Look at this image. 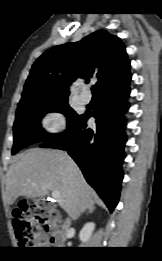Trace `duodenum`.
Returning a JSON list of instances; mask_svg holds the SVG:
<instances>
[{
  "instance_id": "1",
  "label": "duodenum",
  "mask_w": 162,
  "mask_h": 261,
  "mask_svg": "<svg viewBox=\"0 0 162 261\" xmlns=\"http://www.w3.org/2000/svg\"><path fill=\"white\" fill-rule=\"evenodd\" d=\"M48 234L52 235V243L57 246H64L68 237L72 234L62 230L56 223L48 222L45 226Z\"/></svg>"
}]
</instances>
